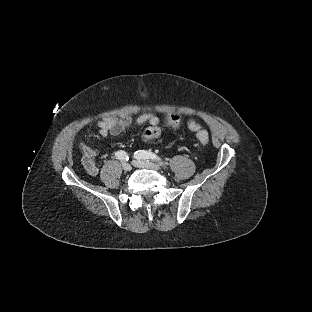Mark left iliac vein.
I'll return each instance as SVG.
<instances>
[{
    "mask_svg": "<svg viewBox=\"0 0 312 312\" xmlns=\"http://www.w3.org/2000/svg\"><path fill=\"white\" fill-rule=\"evenodd\" d=\"M133 164L139 168H149V169H154V170H160L161 169V166H159L156 163L149 162V161H143V160H139V159L134 160Z\"/></svg>",
    "mask_w": 312,
    "mask_h": 312,
    "instance_id": "4c4485c4",
    "label": "left iliac vein"
}]
</instances>
